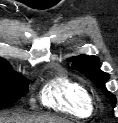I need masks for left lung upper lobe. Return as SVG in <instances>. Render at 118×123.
<instances>
[{
  "mask_svg": "<svg viewBox=\"0 0 118 123\" xmlns=\"http://www.w3.org/2000/svg\"><path fill=\"white\" fill-rule=\"evenodd\" d=\"M68 60L73 61V69L83 73L97 86L102 87L103 92L110 99L112 106L114 107L116 104V97L105 88V82L109 79V74L100 70L99 59L94 56L79 55Z\"/></svg>",
  "mask_w": 118,
  "mask_h": 123,
  "instance_id": "left-lung-upper-lobe-1",
  "label": "left lung upper lobe"
}]
</instances>
